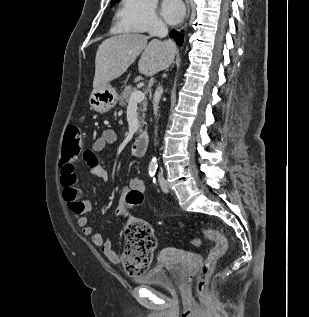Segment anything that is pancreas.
I'll use <instances>...</instances> for the list:
<instances>
[{"label": "pancreas", "mask_w": 309, "mask_h": 317, "mask_svg": "<svg viewBox=\"0 0 309 317\" xmlns=\"http://www.w3.org/2000/svg\"><path fill=\"white\" fill-rule=\"evenodd\" d=\"M135 91V89L131 86H125L124 90L121 92L119 96V105L121 107H126L129 104L130 96ZM138 112H142V115L139 116L140 124H144L145 119V111L147 109V102L144 101L138 106Z\"/></svg>", "instance_id": "cf45deb5"}]
</instances>
